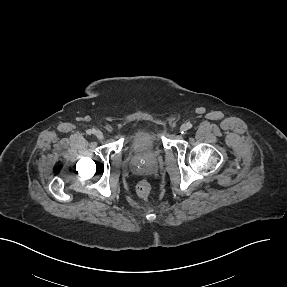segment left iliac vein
Here are the masks:
<instances>
[{
	"label": "left iliac vein",
	"instance_id": "left-iliac-vein-1",
	"mask_svg": "<svg viewBox=\"0 0 287 287\" xmlns=\"http://www.w3.org/2000/svg\"><path fill=\"white\" fill-rule=\"evenodd\" d=\"M187 130H188V128H187V125H186V124L181 125L180 131H181L182 133L186 132Z\"/></svg>",
	"mask_w": 287,
	"mask_h": 287
}]
</instances>
